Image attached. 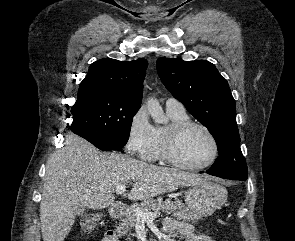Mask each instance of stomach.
<instances>
[{"label": "stomach", "instance_id": "obj_1", "mask_svg": "<svg viewBox=\"0 0 295 241\" xmlns=\"http://www.w3.org/2000/svg\"><path fill=\"white\" fill-rule=\"evenodd\" d=\"M226 199V188L211 179L190 185L185 194V202L188 209L198 217L212 215Z\"/></svg>", "mask_w": 295, "mask_h": 241}]
</instances>
